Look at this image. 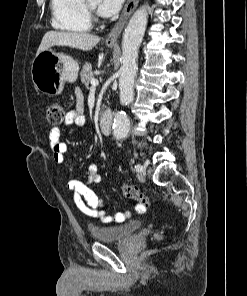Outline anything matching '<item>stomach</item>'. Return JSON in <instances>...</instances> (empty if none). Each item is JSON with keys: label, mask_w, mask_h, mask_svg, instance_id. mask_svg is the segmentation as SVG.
<instances>
[{"label": "stomach", "mask_w": 247, "mask_h": 296, "mask_svg": "<svg viewBox=\"0 0 247 296\" xmlns=\"http://www.w3.org/2000/svg\"><path fill=\"white\" fill-rule=\"evenodd\" d=\"M112 47L111 44H107ZM79 64L72 57L51 49L36 55L32 62L31 76L35 88L47 95H58L66 81L77 79Z\"/></svg>", "instance_id": "1"}]
</instances>
